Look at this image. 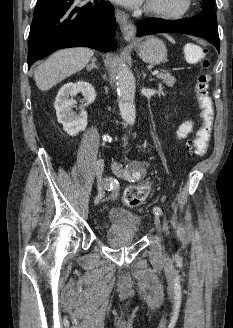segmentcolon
Masks as SVG:
<instances>
[{
  "label": "colon",
  "mask_w": 233,
  "mask_h": 328,
  "mask_svg": "<svg viewBox=\"0 0 233 328\" xmlns=\"http://www.w3.org/2000/svg\"><path fill=\"white\" fill-rule=\"evenodd\" d=\"M186 53L188 60L201 61L202 64V71L197 77L195 86L196 98L200 108L201 125L187 145L191 155L202 156L208 149L214 120L213 101L209 94L211 81L210 62L206 56V50L197 45L189 46ZM150 189L149 184L128 187L124 192V203L129 207L138 206L147 198Z\"/></svg>",
  "instance_id": "1"
}]
</instances>
